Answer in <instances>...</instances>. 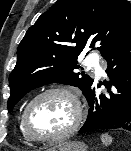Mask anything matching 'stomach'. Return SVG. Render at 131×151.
<instances>
[{
  "mask_svg": "<svg viewBox=\"0 0 131 151\" xmlns=\"http://www.w3.org/2000/svg\"><path fill=\"white\" fill-rule=\"evenodd\" d=\"M46 151H87V145L81 141H66L59 143Z\"/></svg>",
  "mask_w": 131,
  "mask_h": 151,
  "instance_id": "stomach-1",
  "label": "stomach"
}]
</instances>
